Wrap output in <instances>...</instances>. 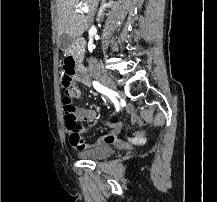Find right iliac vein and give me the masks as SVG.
Returning a JSON list of instances; mask_svg holds the SVG:
<instances>
[{
  "mask_svg": "<svg viewBox=\"0 0 217 202\" xmlns=\"http://www.w3.org/2000/svg\"><path fill=\"white\" fill-rule=\"evenodd\" d=\"M94 77L103 85L116 90L114 81L105 73L94 74Z\"/></svg>",
  "mask_w": 217,
  "mask_h": 202,
  "instance_id": "right-iliac-vein-1",
  "label": "right iliac vein"
}]
</instances>
